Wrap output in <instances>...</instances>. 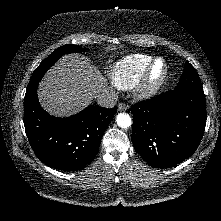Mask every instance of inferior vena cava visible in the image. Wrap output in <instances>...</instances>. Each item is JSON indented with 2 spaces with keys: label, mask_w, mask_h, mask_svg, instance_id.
<instances>
[{
  "label": "inferior vena cava",
  "mask_w": 221,
  "mask_h": 221,
  "mask_svg": "<svg viewBox=\"0 0 221 221\" xmlns=\"http://www.w3.org/2000/svg\"><path fill=\"white\" fill-rule=\"evenodd\" d=\"M98 105L105 108H112L116 105L118 94L111 87H105L95 96Z\"/></svg>",
  "instance_id": "inferior-vena-cava-1"
}]
</instances>
